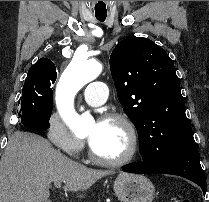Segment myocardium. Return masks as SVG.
<instances>
[{
  "label": "myocardium",
  "instance_id": "obj_1",
  "mask_svg": "<svg viewBox=\"0 0 209 202\" xmlns=\"http://www.w3.org/2000/svg\"><path fill=\"white\" fill-rule=\"evenodd\" d=\"M101 121H116L122 124L128 132L130 147L126 155L123 157L118 159H108L98 155L90 141H88L89 157L91 160L97 164L113 168H118L132 162L137 157L139 152V136L132 121L126 115L121 113L105 114L101 117Z\"/></svg>",
  "mask_w": 209,
  "mask_h": 202
}]
</instances>
